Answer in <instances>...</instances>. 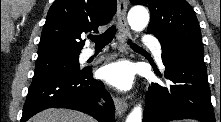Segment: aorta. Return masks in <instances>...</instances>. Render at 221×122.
Instances as JSON below:
<instances>
[{"label":"aorta","mask_w":221,"mask_h":122,"mask_svg":"<svg viewBox=\"0 0 221 122\" xmlns=\"http://www.w3.org/2000/svg\"><path fill=\"white\" fill-rule=\"evenodd\" d=\"M128 23L132 30L140 32L149 23V13L143 6L137 5L130 9L128 13ZM126 122H142L141 105H136L128 115Z\"/></svg>","instance_id":"aorta-1"}]
</instances>
